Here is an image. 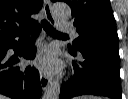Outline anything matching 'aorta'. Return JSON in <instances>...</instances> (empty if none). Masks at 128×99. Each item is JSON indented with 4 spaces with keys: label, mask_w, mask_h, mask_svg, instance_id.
I'll list each match as a JSON object with an SVG mask.
<instances>
[{
    "label": "aorta",
    "mask_w": 128,
    "mask_h": 99,
    "mask_svg": "<svg viewBox=\"0 0 128 99\" xmlns=\"http://www.w3.org/2000/svg\"><path fill=\"white\" fill-rule=\"evenodd\" d=\"M54 16L59 20H67L71 16V9L65 2H56L52 6ZM60 83L53 81L46 89L43 99H58L60 95Z\"/></svg>",
    "instance_id": "762f6f07"
}]
</instances>
